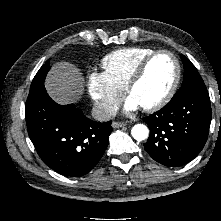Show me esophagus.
I'll return each instance as SVG.
<instances>
[{"label":"esophagus","mask_w":221,"mask_h":221,"mask_svg":"<svg viewBox=\"0 0 221 221\" xmlns=\"http://www.w3.org/2000/svg\"><path fill=\"white\" fill-rule=\"evenodd\" d=\"M127 124L126 123H124V122H113L112 123V127L113 128H120V127H124V126H126Z\"/></svg>","instance_id":"1"}]
</instances>
